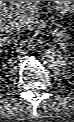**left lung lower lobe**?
I'll list each match as a JSON object with an SVG mask.
<instances>
[{
  "label": "left lung lower lobe",
  "instance_id": "1",
  "mask_svg": "<svg viewBox=\"0 0 74 122\" xmlns=\"http://www.w3.org/2000/svg\"><path fill=\"white\" fill-rule=\"evenodd\" d=\"M63 83L69 87H71V85L66 81V80H63Z\"/></svg>",
  "mask_w": 74,
  "mask_h": 122
}]
</instances>
